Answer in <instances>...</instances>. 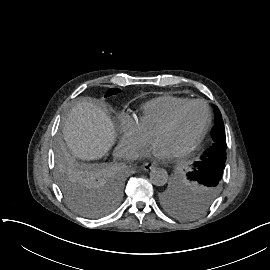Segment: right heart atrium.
Wrapping results in <instances>:
<instances>
[{
	"label": "right heart atrium",
	"mask_w": 270,
	"mask_h": 270,
	"mask_svg": "<svg viewBox=\"0 0 270 270\" xmlns=\"http://www.w3.org/2000/svg\"><path fill=\"white\" fill-rule=\"evenodd\" d=\"M119 131V141L123 139L133 141L137 145L139 152L142 151L151 140V134L145 133L137 122L129 116H123L121 118Z\"/></svg>",
	"instance_id": "d8ad5b80"
}]
</instances>
